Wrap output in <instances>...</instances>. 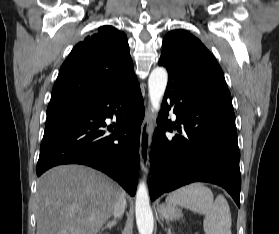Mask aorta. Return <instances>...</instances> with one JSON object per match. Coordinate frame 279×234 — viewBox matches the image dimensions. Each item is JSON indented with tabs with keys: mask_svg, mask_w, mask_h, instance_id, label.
I'll return each mask as SVG.
<instances>
[{
	"mask_svg": "<svg viewBox=\"0 0 279 234\" xmlns=\"http://www.w3.org/2000/svg\"><path fill=\"white\" fill-rule=\"evenodd\" d=\"M168 81V73L164 67H156L148 79L149 100L154 112H158ZM136 223L139 234H152L154 218L150 207L148 189L144 181L140 182L135 201Z\"/></svg>",
	"mask_w": 279,
	"mask_h": 234,
	"instance_id": "1",
	"label": "aorta"
}]
</instances>
